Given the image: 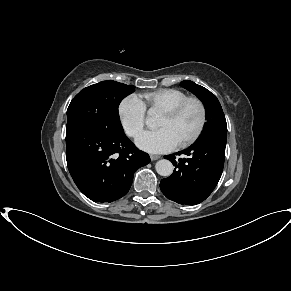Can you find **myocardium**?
I'll return each mask as SVG.
<instances>
[{
    "label": "myocardium",
    "mask_w": 291,
    "mask_h": 291,
    "mask_svg": "<svg viewBox=\"0 0 291 291\" xmlns=\"http://www.w3.org/2000/svg\"><path fill=\"white\" fill-rule=\"evenodd\" d=\"M190 103H196L199 106L200 112H201L200 123H199L197 130L194 132L193 135H191L189 138H187L186 140H184L183 142H181L177 145L179 148H185V147L192 145L202 135V133L205 129L206 123H207L206 106L200 98L191 96V97H187L186 99H184L183 101H181L180 103L175 105L174 107H172V108H170L162 113L163 116L174 119V118L178 117Z\"/></svg>",
    "instance_id": "1"
}]
</instances>
